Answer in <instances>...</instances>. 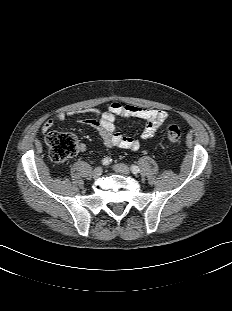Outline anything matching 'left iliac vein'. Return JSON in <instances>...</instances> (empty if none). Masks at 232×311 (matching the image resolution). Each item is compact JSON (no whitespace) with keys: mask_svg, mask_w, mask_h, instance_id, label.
Wrapping results in <instances>:
<instances>
[{"mask_svg":"<svg viewBox=\"0 0 232 311\" xmlns=\"http://www.w3.org/2000/svg\"><path fill=\"white\" fill-rule=\"evenodd\" d=\"M113 169L116 172H119L122 174H129L130 173V168L127 165L122 164V163L114 165Z\"/></svg>","mask_w":232,"mask_h":311,"instance_id":"left-iliac-vein-1","label":"left iliac vein"}]
</instances>
